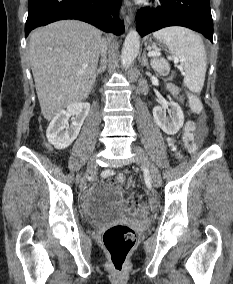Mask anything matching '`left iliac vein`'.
<instances>
[{"label":"left iliac vein","instance_id":"1","mask_svg":"<svg viewBox=\"0 0 233 284\" xmlns=\"http://www.w3.org/2000/svg\"><path fill=\"white\" fill-rule=\"evenodd\" d=\"M134 151L138 155V161L146 168L149 174L150 181L152 185L156 188L160 187L161 185V175L156 167V165L153 163V161L150 159V157L140 148H134Z\"/></svg>","mask_w":233,"mask_h":284}]
</instances>
